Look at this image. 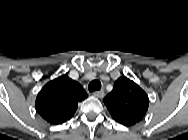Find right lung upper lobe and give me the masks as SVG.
I'll use <instances>...</instances> for the list:
<instances>
[{
  "label": "right lung upper lobe",
  "instance_id": "cb5924a9",
  "mask_svg": "<svg viewBox=\"0 0 188 140\" xmlns=\"http://www.w3.org/2000/svg\"><path fill=\"white\" fill-rule=\"evenodd\" d=\"M84 88L67 75L47 83L38 93L35 107L49 123L58 125L69 120L77 110L78 103L87 98Z\"/></svg>",
  "mask_w": 188,
  "mask_h": 140
}]
</instances>
